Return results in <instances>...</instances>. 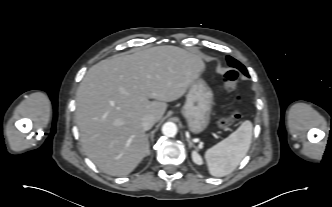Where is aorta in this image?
<instances>
[{
  "label": "aorta",
  "mask_w": 332,
  "mask_h": 207,
  "mask_svg": "<svg viewBox=\"0 0 332 207\" xmlns=\"http://www.w3.org/2000/svg\"><path fill=\"white\" fill-rule=\"evenodd\" d=\"M162 133L167 137H174L177 133V126L173 122H166L162 126Z\"/></svg>",
  "instance_id": "1"
}]
</instances>
